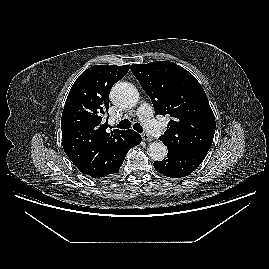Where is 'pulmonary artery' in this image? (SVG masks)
Wrapping results in <instances>:
<instances>
[{"mask_svg":"<svg viewBox=\"0 0 269 269\" xmlns=\"http://www.w3.org/2000/svg\"><path fill=\"white\" fill-rule=\"evenodd\" d=\"M137 116L146 132L151 136L160 137L163 134V127L153 118V111L149 104L142 103L137 110Z\"/></svg>","mask_w":269,"mask_h":269,"instance_id":"pulmonary-artery-1","label":"pulmonary artery"}]
</instances>
